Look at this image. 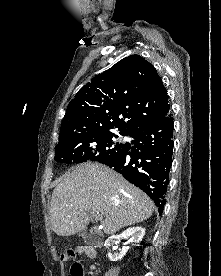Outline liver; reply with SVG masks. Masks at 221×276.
Masks as SVG:
<instances>
[{
    "label": "liver",
    "mask_w": 221,
    "mask_h": 276,
    "mask_svg": "<svg viewBox=\"0 0 221 276\" xmlns=\"http://www.w3.org/2000/svg\"><path fill=\"white\" fill-rule=\"evenodd\" d=\"M154 208L153 201L119 173L87 162L74 167L53 190L50 223L58 236H70L84 231L92 215L100 214L104 233L112 235L148 219Z\"/></svg>",
    "instance_id": "6515ba94"
}]
</instances>
